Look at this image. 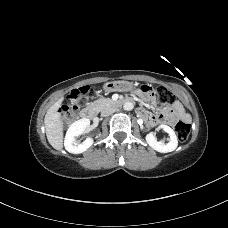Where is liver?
<instances>
[{
	"mask_svg": "<svg viewBox=\"0 0 228 228\" xmlns=\"http://www.w3.org/2000/svg\"><path fill=\"white\" fill-rule=\"evenodd\" d=\"M62 101L63 98L55 102L48 109L44 118L47 139L50 145L56 150H61L63 148V125L61 116L58 112Z\"/></svg>",
	"mask_w": 228,
	"mask_h": 228,
	"instance_id": "liver-1",
	"label": "liver"
}]
</instances>
